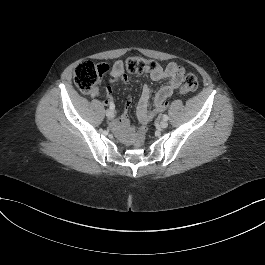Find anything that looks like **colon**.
<instances>
[{
  "instance_id": "obj_1",
  "label": "colon",
  "mask_w": 265,
  "mask_h": 265,
  "mask_svg": "<svg viewBox=\"0 0 265 265\" xmlns=\"http://www.w3.org/2000/svg\"><path fill=\"white\" fill-rule=\"evenodd\" d=\"M126 70L131 74H142L147 72H153L159 66L155 60L146 59L142 57H131L126 60ZM100 77L98 67L90 62L84 61L78 64L74 72V81L77 87L84 93H90L94 90ZM199 86L197 76L188 72L182 79L180 87L181 93H188L195 91ZM168 106L167 102L154 107L144 118V125L140 126L134 139V146L136 148H142L146 139V126L158 113L164 111Z\"/></svg>"
}]
</instances>
